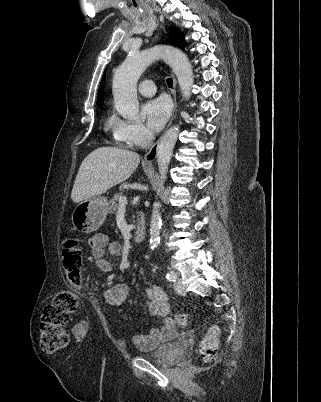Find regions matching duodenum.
<instances>
[{
    "label": "duodenum",
    "mask_w": 321,
    "mask_h": 402,
    "mask_svg": "<svg viewBox=\"0 0 321 402\" xmlns=\"http://www.w3.org/2000/svg\"><path fill=\"white\" fill-rule=\"evenodd\" d=\"M147 232V225H146V220L143 214H139L137 216V227L134 232V241L136 243H141L146 236Z\"/></svg>",
    "instance_id": "1"
}]
</instances>
